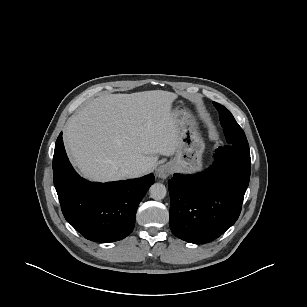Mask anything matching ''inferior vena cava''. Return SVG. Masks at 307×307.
<instances>
[{"instance_id": "1", "label": "inferior vena cava", "mask_w": 307, "mask_h": 307, "mask_svg": "<svg viewBox=\"0 0 307 307\" xmlns=\"http://www.w3.org/2000/svg\"><path fill=\"white\" fill-rule=\"evenodd\" d=\"M146 170L145 167H132L124 170L126 177L132 178L141 175Z\"/></svg>"}]
</instances>
